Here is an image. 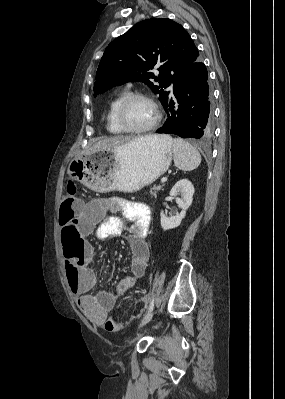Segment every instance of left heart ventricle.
<instances>
[{"mask_svg": "<svg viewBox=\"0 0 285 399\" xmlns=\"http://www.w3.org/2000/svg\"><path fill=\"white\" fill-rule=\"evenodd\" d=\"M126 122L130 127L142 128L149 125L155 118L153 106L145 100L132 102L126 110Z\"/></svg>", "mask_w": 285, "mask_h": 399, "instance_id": "obj_1", "label": "left heart ventricle"}]
</instances>
